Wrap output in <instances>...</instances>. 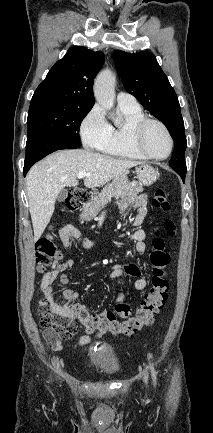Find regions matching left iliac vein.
I'll use <instances>...</instances> for the list:
<instances>
[{
  "label": "left iliac vein",
  "mask_w": 213,
  "mask_h": 433,
  "mask_svg": "<svg viewBox=\"0 0 213 433\" xmlns=\"http://www.w3.org/2000/svg\"><path fill=\"white\" fill-rule=\"evenodd\" d=\"M147 379H148V375H147V373L145 372V373L143 374V380H144L145 383H147Z\"/></svg>",
  "instance_id": "obj_1"
}]
</instances>
